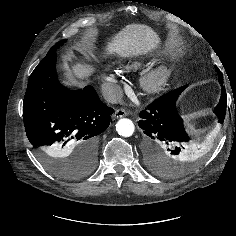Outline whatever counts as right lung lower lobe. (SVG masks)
<instances>
[{
	"label": "right lung lower lobe",
	"mask_w": 236,
	"mask_h": 236,
	"mask_svg": "<svg viewBox=\"0 0 236 236\" xmlns=\"http://www.w3.org/2000/svg\"><path fill=\"white\" fill-rule=\"evenodd\" d=\"M56 53L46 56L30 75L23 101L26 135L40 154H66L79 146L78 161L94 164L98 135L108 128L111 107L92 86L71 91L56 74Z\"/></svg>",
	"instance_id": "98d812e1"
}]
</instances>
